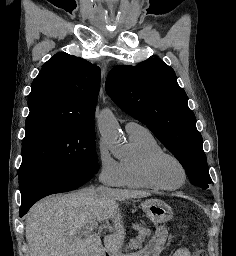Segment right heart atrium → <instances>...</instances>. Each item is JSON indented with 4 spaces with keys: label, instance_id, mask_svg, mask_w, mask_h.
Returning a JSON list of instances; mask_svg holds the SVG:
<instances>
[{
    "label": "right heart atrium",
    "instance_id": "1",
    "mask_svg": "<svg viewBox=\"0 0 236 256\" xmlns=\"http://www.w3.org/2000/svg\"><path fill=\"white\" fill-rule=\"evenodd\" d=\"M96 161L99 179L103 184L111 187L123 186L121 162L111 155L102 141L98 145Z\"/></svg>",
    "mask_w": 236,
    "mask_h": 256
}]
</instances>
